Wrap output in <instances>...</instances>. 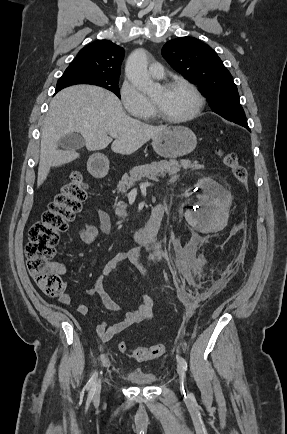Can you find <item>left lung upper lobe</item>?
<instances>
[{"label":"left lung upper lobe","instance_id":"5c2ea615","mask_svg":"<svg viewBox=\"0 0 287 434\" xmlns=\"http://www.w3.org/2000/svg\"><path fill=\"white\" fill-rule=\"evenodd\" d=\"M162 55L177 72L201 87L215 113L245 117L232 75L211 47L193 37H179L163 46Z\"/></svg>","mask_w":287,"mask_h":434}]
</instances>
